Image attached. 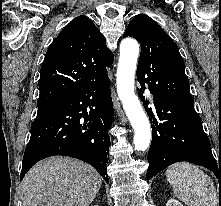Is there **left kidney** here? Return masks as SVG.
I'll list each match as a JSON object with an SVG mask.
<instances>
[{"instance_id":"left-kidney-1","label":"left kidney","mask_w":221,"mask_h":206,"mask_svg":"<svg viewBox=\"0 0 221 206\" xmlns=\"http://www.w3.org/2000/svg\"><path fill=\"white\" fill-rule=\"evenodd\" d=\"M166 206H183V204L180 203L178 200L171 198L167 201Z\"/></svg>"}]
</instances>
